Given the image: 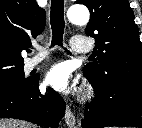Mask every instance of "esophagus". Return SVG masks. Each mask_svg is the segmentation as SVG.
I'll use <instances>...</instances> for the list:
<instances>
[{"mask_svg":"<svg viewBox=\"0 0 142 128\" xmlns=\"http://www.w3.org/2000/svg\"><path fill=\"white\" fill-rule=\"evenodd\" d=\"M65 122L69 128H77V120L74 115V113L71 111L69 105L66 107L65 116H64Z\"/></svg>","mask_w":142,"mask_h":128,"instance_id":"1","label":"esophagus"}]
</instances>
